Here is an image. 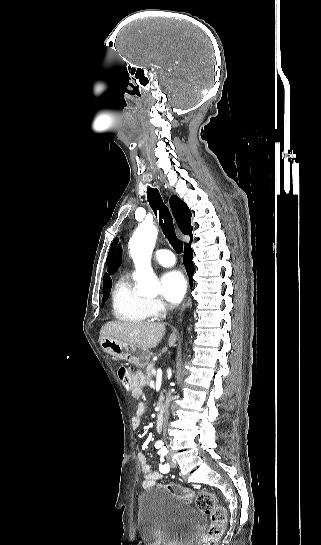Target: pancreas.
Here are the masks:
<instances>
[{"instance_id": "pancreas-1", "label": "pancreas", "mask_w": 321, "mask_h": 545, "mask_svg": "<svg viewBox=\"0 0 321 545\" xmlns=\"http://www.w3.org/2000/svg\"><path fill=\"white\" fill-rule=\"evenodd\" d=\"M154 369H155L154 363H149V365H147V367L145 369V371H146V381H147L148 385L152 381V375H153Z\"/></svg>"}]
</instances>
